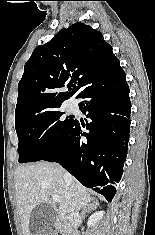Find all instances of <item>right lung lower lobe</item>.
Listing matches in <instances>:
<instances>
[{
  "instance_id": "98d812e1",
  "label": "right lung lower lobe",
  "mask_w": 155,
  "mask_h": 235,
  "mask_svg": "<svg viewBox=\"0 0 155 235\" xmlns=\"http://www.w3.org/2000/svg\"><path fill=\"white\" fill-rule=\"evenodd\" d=\"M78 98L84 99L79 107L90 121L85 125L76 120L65 143L44 160L61 164L84 186L111 201L129 141L131 102L125 72L94 83Z\"/></svg>"
}]
</instances>
